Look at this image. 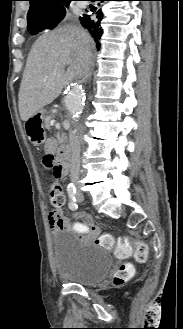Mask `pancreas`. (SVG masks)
<instances>
[{
  "mask_svg": "<svg viewBox=\"0 0 183 329\" xmlns=\"http://www.w3.org/2000/svg\"><path fill=\"white\" fill-rule=\"evenodd\" d=\"M53 119V116L52 115H49V116H46L44 118V126L46 129H50V121Z\"/></svg>",
  "mask_w": 183,
  "mask_h": 329,
  "instance_id": "obj_1",
  "label": "pancreas"
}]
</instances>
